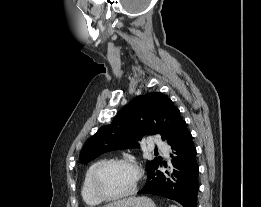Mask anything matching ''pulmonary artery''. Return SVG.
Instances as JSON below:
<instances>
[{
	"mask_svg": "<svg viewBox=\"0 0 261 207\" xmlns=\"http://www.w3.org/2000/svg\"><path fill=\"white\" fill-rule=\"evenodd\" d=\"M154 146H156L160 150H164V151L167 150L166 145L159 139L154 140Z\"/></svg>",
	"mask_w": 261,
	"mask_h": 207,
	"instance_id": "e3ab8cb5",
	"label": "pulmonary artery"
}]
</instances>
